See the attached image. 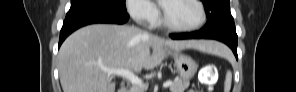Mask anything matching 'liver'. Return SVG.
Returning a JSON list of instances; mask_svg holds the SVG:
<instances>
[{"label": "liver", "instance_id": "liver-1", "mask_svg": "<svg viewBox=\"0 0 296 92\" xmlns=\"http://www.w3.org/2000/svg\"><path fill=\"white\" fill-rule=\"evenodd\" d=\"M216 46L214 41L166 40L128 25H88L71 34L59 50L60 82L63 92H115L114 74L104 68L140 73L155 68L166 57V48L213 53Z\"/></svg>", "mask_w": 296, "mask_h": 92}]
</instances>
